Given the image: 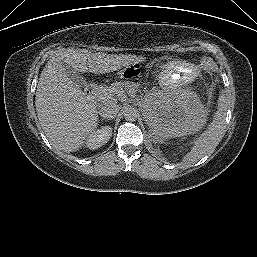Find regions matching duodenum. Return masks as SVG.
<instances>
[{
    "mask_svg": "<svg viewBox=\"0 0 257 257\" xmlns=\"http://www.w3.org/2000/svg\"><path fill=\"white\" fill-rule=\"evenodd\" d=\"M96 93H97V86L95 84L89 85L85 90L86 97L90 102L94 100Z\"/></svg>",
    "mask_w": 257,
    "mask_h": 257,
    "instance_id": "410a0bca",
    "label": "duodenum"
}]
</instances>
